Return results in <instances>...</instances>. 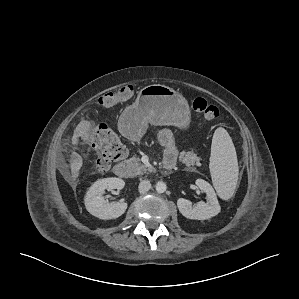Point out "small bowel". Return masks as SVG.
Returning a JSON list of instances; mask_svg holds the SVG:
<instances>
[{"label":"small bowel","instance_id":"obj_1","mask_svg":"<svg viewBox=\"0 0 299 299\" xmlns=\"http://www.w3.org/2000/svg\"><path fill=\"white\" fill-rule=\"evenodd\" d=\"M159 142L165 147L164 163L175 164L178 156V150L175 146V140L169 129H163L158 134Z\"/></svg>","mask_w":299,"mask_h":299}]
</instances>
